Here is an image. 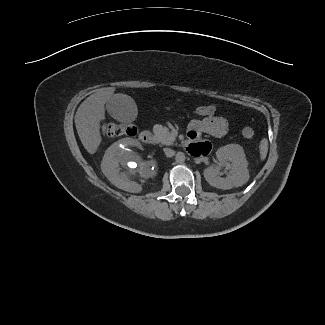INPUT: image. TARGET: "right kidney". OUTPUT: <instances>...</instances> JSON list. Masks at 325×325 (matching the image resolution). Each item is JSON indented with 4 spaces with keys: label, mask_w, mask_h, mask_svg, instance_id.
I'll list each match as a JSON object with an SVG mask.
<instances>
[{
    "label": "right kidney",
    "mask_w": 325,
    "mask_h": 325,
    "mask_svg": "<svg viewBox=\"0 0 325 325\" xmlns=\"http://www.w3.org/2000/svg\"><path fill=\"white\" fill-rule=\"evenodd\" d=\"M154 167L153 160L145 159L141 144L130 138L113 143L101 163V170L108 180L131 193L141 192L155 178Z\"/></svg>",
    "instance_id": "right-kidney-1"
}]
</instances>
